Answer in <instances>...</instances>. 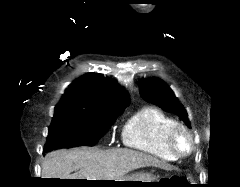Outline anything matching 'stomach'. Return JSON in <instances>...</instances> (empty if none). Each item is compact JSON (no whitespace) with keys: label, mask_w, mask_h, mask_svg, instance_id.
<instances>
[{"label":"stomach","mask_w":240,"mask_h":187,"mask_svg":"<svg viewBox=\"0 0 240 187\" xmlns=\"http://www.w3.org/2000/svg\"><path fill=\"white\" fill-rule=\"evenodd\" d=\"M156 178L149 173H137L131 176H125L113 181H131V182H112V186L116 187H153L155 183H143V182H158Z\"/></svg>","instance_id":"0dacf381"}]
</instances>
